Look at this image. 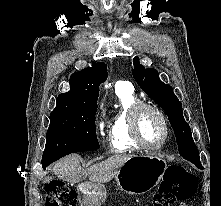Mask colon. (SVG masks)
<instances>
[{
    "instance_id": "obj_1",
    "label": "colon",
    "mask_w": 221,
    "mask_h": 206,
    "mask_svg": "<svg viewBox=\"0 0 221 206\" xmlns=\"http://www.w3.org/2000/svg\"><path fill=\"white\" fill-rule=\"evenodd\" d=\"M198 181L194 174L182 166H170L165 181L147 206H172L178 201L191 198L197 191ZM75 190L62 181H53L47 187L46 206H77Z\"/></svg>"
}]
</instances>
